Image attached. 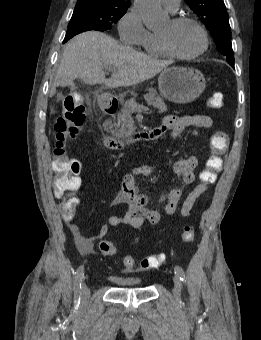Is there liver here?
I'll use <instances>...</instances> for the list:
<instances>
[{"label": "liver", "mask_w": 261, "mask_h": 340, "mask_svg": "<svg viewBox=\"0 0 261 340\" xmlns=\"http://www.w3.org/2000/svg\"><path fill=\"white\" fill-rule=\"evenodd\" d=\"M170 64V61L158 60L131 47L120 45L104 33L84 32L66 45L51 95L56 93V87L75 78L88 85L104 84L107 88L129 87L151 79ZM106 67L113 68L109 79L105 77Z\"/></svg>", "instance_id": "liver-1"}]
</instances>
